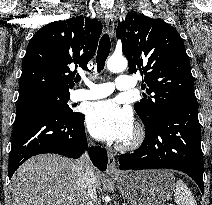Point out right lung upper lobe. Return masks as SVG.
Segmentation results:
<instances>
[{
  "mask_svg": "<svg viewBox=\"0 0 212 205\" xmlns=\"http://www.w3.org/2000/svg\"><path fill=\"white\" fill-rule=\"evenodd\" d=\"M102 24L83 16L47 24L29 41L22 62L19 97L36 92L70 94L76 70L87 69Z\"/></svg>",
  "mask_w": 212,
  "mask_h": 205,
  "instance_id": "1",
  "label": "right lung upper lobe"
}]
</instances>
